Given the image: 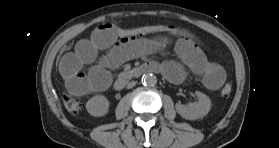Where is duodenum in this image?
Wrapping results in <instances>:
<instances>
[{
	"instance_id": "1",
	"label": "duodenum",
	"mask_w": 279,
	"mask_h": 148,
	"mask_svg": "<svg viewBox=\"0 0 279 148\" xmlns=\"http://www.w3.org/2000/svg\"><path fill=\"white\" fill-rule=\"evenodd\" d=\"M159 70V65L153 62H146L141 64L140 66L134 68L128 73H124L120 75L113 84V88L115 90L123 89L126 84L133 79L140 78L143 74L149 72H156Z\"/></svg>"
}]
</instances>
